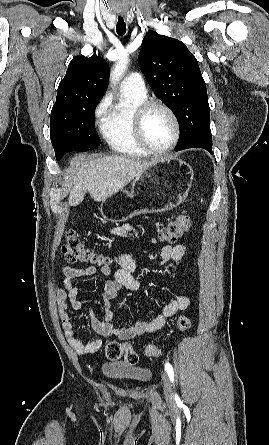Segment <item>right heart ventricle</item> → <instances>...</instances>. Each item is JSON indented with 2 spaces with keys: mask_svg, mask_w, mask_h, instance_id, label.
<instances>
[{
  "mask_svg": "<svg viewBox=\"0 0 269 445\" xmlns=\"http://www.w3.org/2000/svg\"><path fill=\"white\" fill-rule=\"evenodd\" d=\"M146 95L122 90L118 103L107 111L101 122V133L115 152L135 158L148 154L138 145L133 131V114Z\"/></svg>",
  "mask_w": 269,
  "mask_h": 445,
  "instance_id": "right-heart-ventricle-1",
  "label": "right heart ventricle"
}]
</instances>
